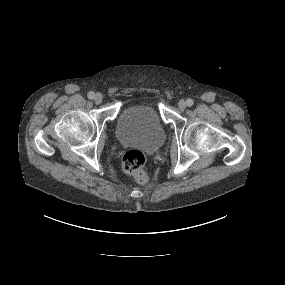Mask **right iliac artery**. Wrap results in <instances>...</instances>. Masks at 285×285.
<instances>
[{
    "label": "right iliac artery",
    "instance_id": "82829eb1",
    "mask_svg": "<svg viewBox=\"0 0 285 285\" xmlns=\"http://www.w3.org/2000/svg\"><path fill=\"white\" fill-rule=\"evenodd\" d=\"M87 96H88L89 99H93L95 94H94V92L91 91V92L88 93Z\"/></svg>",
    "mask_w": 285,
    "mask_h": 285
}]
</instances>
